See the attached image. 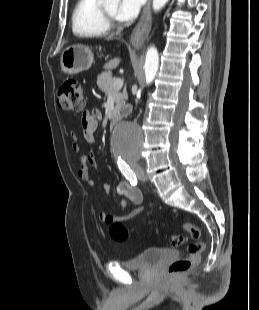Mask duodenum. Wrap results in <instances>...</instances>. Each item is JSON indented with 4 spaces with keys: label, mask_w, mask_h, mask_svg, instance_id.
Here are the masks:
<instances>
[{
    "label": "duodenum",
    "mask_w": 259,
    "mask_h": 310,
    "mask_svg": "<svg viewBox=\"0 0 259 310\" xmlns=\"http://www.w3.org/2000/svg\"><path fill=\"white\" fill-rule=\"evenodd\" d=\"M117 121H118V114L115 113V114L113 115L112 120H111V123H110L111 131H114V130H115Z\"/></svg>",
    "instance_id": "410a0bca"
}]
</instances>
